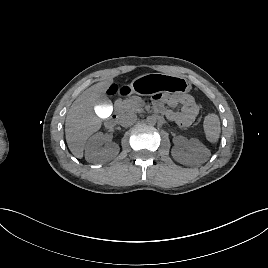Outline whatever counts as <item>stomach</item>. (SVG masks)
Returning a JSON list of instances; mask_svg holds the SVG:
<instances>
[{
  "instance_id": "stomach-1",
  "label": "stomach",
  "mask_w": 268,
  "mask_h": 268,
  "mask_svg": "<svg viewBox=\"0 0 268 268\" xmlns=\"http://www.w3.org/2000/svg\"><path fill=\"white\" fill-rule=\"evenodd\" d=\"M131 90L137 95H153L159 92L185 94L191 90L190 82L178 75L147 73L131 82Z\"/></svg>"
}]
</instances>
